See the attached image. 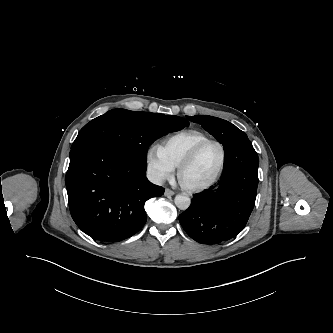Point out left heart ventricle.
Segmentation results:
<instances>
[{"label": "left heart ventricle", "mask_w": 333, "mask_h": 333, "mask_svg": "<svg viewBox=\"0 0 333 333\" xmlns=\"http://www.w3.org/2000/svg\"><path fill=\"white\" fill-rule=\"evenodd\" d=\"M220 158V150L216 145L205 146L193 163L184 170L183 181L189 185H198L208 181L217 170Z\"/></svg>", "instance_id": "left-heart-ventricle-1"}]
</instances>
